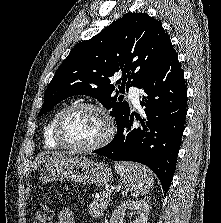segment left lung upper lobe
<instances>
[{"instance_id": "1", "label": "left lung upper lobe", "mask_w": 221, "mask_h": 223, "mask_svg": "<svg viewBox=\"0 0 221 223\" xmlns=\"http://www.w3.org/2000/svg\"><path fill=\"white\" fill-rule=\"evenodd\" d=\"M170 44L158 20L146 13L125 14L70 51L46 89L39 116L70 96L84 94L112 109L118 126L130 108L118 97L117 88L124 93L125 85L128 91L130 86L145 84L162 64ZM115 73L122 74V81L113 80Z\"/></svg>"}]
</instances>
